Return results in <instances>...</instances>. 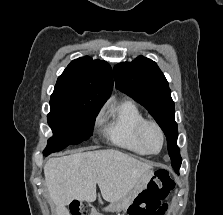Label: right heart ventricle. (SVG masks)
<instances>
[{
  "mask_svg": "<svg viewBox=\"0 0 223 215\" xmlns=\"http://www.w3.org/2000/svg\"><path fill=\"white\" fill-rule=\"evenodd\" d=\"M104 134L110 141L129 152L143 155L138 139V128L145 120L136 104L123 100L104 113Z\"/></svg>",
  "mask_w": 223,
  "mask_h": 215,
  "instance_id": "e07e8e85",
  "label": "right heart ventricle"
}]
</instances>
